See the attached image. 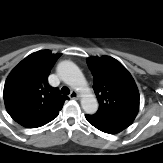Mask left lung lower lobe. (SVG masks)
Listing matches in <instances>:
<instances>
[{"mask_svg": "<svg viewBox=\"0 0 163 163\" xmlns=\"http://www.w3.org/2000/svg\"><path fill=\"white\" fill-rule=\"evenodd\" d=\"M87 121L96 127L98 130L109 133L116 134L127 128L132 124L133 121L129 120H121V119H107V118H99L94 117L92 115L85 116Z\"/></svg>", "mask_w": 163, "mask_h": 163, "instance_id": "0a47b994", "label": "left lung lower lobe"}]
</instances>
